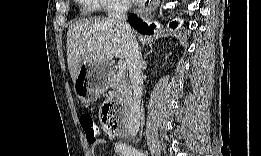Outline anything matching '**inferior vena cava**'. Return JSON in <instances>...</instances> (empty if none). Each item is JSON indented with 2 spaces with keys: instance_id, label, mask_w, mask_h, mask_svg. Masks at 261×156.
I'll return each instance as SVG.
<instances>
[{
  "instance_id": "inferior-vena-cava-1",
  "label": "inferior vena cava",
  "mask_w": 261,
  "mask_h": 156,
  "mask_svg": "<svg viewBox=\"0 0 261 156\" xmlns=\"http://www.w3.org/2000/svg\"><path fill=\"white\" fill-rule=\"evenodd\" d=\"M129 8L127 0H112L107 7L109 20L116 25L126 40L125 59L129 69L133 89V101L130 106L128 130L135 136L140 126V102L143 85L142 56L139 44L133 35L131 27L126 22V12Z\"/></svg>"
}]
</instances>
